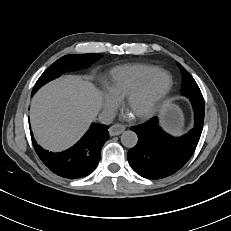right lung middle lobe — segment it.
<instances>
[{
  "label": "right lung middle lobe",
  "instance_id": "dd1d6c3e",
  "mask_svg": "<svg viewBox=\"0 0 231 231\" xmlns=\"http://www.w3.org/2000/svg\"><path fill=\"white\" fill-rule=\"evenodd\" d=\"M101 57L102 55L98 53L71 54L61 57L40 76L33 88L32 94H34L43 84L59 77L62 72L87 68Z\"/></svg>",
  "mask_w": 231,
  "mask_h": 231
}]
</instances>
